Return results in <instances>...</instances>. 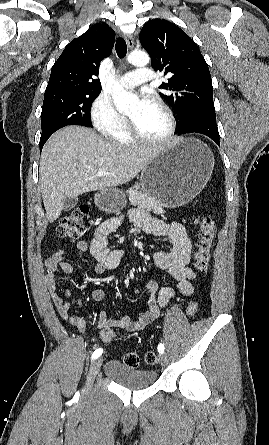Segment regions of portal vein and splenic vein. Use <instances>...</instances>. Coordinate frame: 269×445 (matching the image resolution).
Returning <instances> with one entry per match:
<instances>
[{
    "label": "portal vein and splenic vein",
    "mask_w": 269,
    "mask_h": 445,
    "mask_svg": "<svg viewBox=\"0 0 269 445\" xmlns=\"http://www.w3.org/2000/svg\"><path fill=\"white\" fill-rule=\"evenodd\" d=\"M108 174L109 173H107L105 170H102V169L97 172V176H99V177L106 176Z\"/></svg>",
    "instance_id": "portal-vein-and-splenic-vein-1"
}]
</instances>
